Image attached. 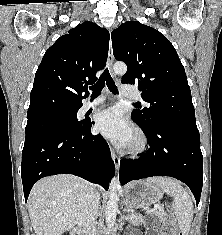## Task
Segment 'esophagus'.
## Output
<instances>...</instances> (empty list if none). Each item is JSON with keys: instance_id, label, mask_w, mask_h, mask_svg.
<instances>
[{"instance_id": "1", "label": "esophagus", "mask_w": 222, "mask_h": 235, "mask_svg": "<svg viewBox=\"0 0 222 235\" xmlns=\"http://www.w3.org/2000/svg\"><path fill=\"white\" fill-rule=\"evenodd\" d=\"M113 62H114V55H113L112 41L110 39V42H109V51H108V68L110 70V73H111L112 77L114 79H116L117 78L116 74L113 71ZM111 155H112V159H113V162L115 164V167H116V169H118L119 165H120V158L116 154V152H115V150L113 148L111 149Z\"/></svg>"}]
</instances>
